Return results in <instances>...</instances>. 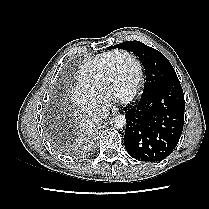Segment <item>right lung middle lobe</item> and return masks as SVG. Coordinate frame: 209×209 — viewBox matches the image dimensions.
<instances>
[{"mask_svg":"<svg viewBox=\"0 0 209 209\" xmlns=\"http://www.w3.org/2000/svg\"><path fill=\"white\" fill-rule=\"evenodd\" d=\"M54 142L56 146L61 150L66 153H78L81 151L79 148H75L74 146H70L68 143H66L62 138L60 137H55Z\"/></svg>","mask_w":209,"mask_h":209,"instance_id":"obj_1","label":"right lung middle lobe"}]
</instances>
